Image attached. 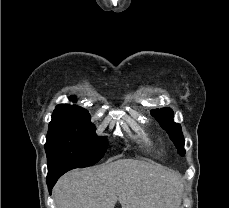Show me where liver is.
<instances>
[{"label":"liver","mask_w":229,"mask_h":208,"mask_svg":"<svg viewBox=\"0 0 229 208\" xmlns=\"http://www.w3.org/2000/svg\"><path fill=\"white\" fill-rule=\"evenodd\" d=\"M53 192L58 208H179L183 184L161 164L117 160L72 170Z\"/></svg>","instance_id":"6515ba94"}]
</instances>
